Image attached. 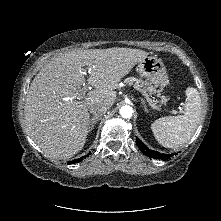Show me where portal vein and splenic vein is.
I'll use <instances>...</instances> for the list:
<instances>
[{
    "label": "portal vein and splenic vein",
    "instance_id": "portal-vein-and-splenic-vein-1",
    "mask_svg": "<svg viewBox=\"0 0 221 221\" xmlns=\"http://www.w3.org/2000/svg\"><path fill=\"white\" fill-rule=\"evenodd\" d=\"M88 72H90V70H89ZM83 73L86 75V72H83ZM133 88H134L135 90L139 91V92L146 98V100L149 102L150 106H151L153 109L161 110L160 106H158V105H156V103H153V102H152V100L149 98V95L146 93V91H145L144 89H141V88L135 87V86H133ZM87 90H88L87 87H83V88L81 89V95H84ZM66 100H67V99H66ZM179 109L181 110L180 107H179ZM171 112H172L173 114H177V113H178V111H176V110H172Z\"/></svg>",
    "mask_w": 221,
    "mask_h": 221
}]
</instances>
